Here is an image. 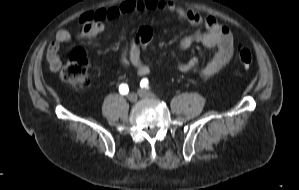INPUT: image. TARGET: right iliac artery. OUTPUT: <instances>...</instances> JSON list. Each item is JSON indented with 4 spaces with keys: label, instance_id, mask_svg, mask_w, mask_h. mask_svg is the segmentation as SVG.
<instances>
[{
    "label": "right iliac artery",
    "instance_id": "82829eb1",
    "mask_svg": "<svg viewBox=\"0 0 299 190\" xmlns=\"http://www.w3.org/2000/svg\"><path fill=\"white\" fill-rule=\"evenodd\" d=\"M119 92L123 95L127 94L129 92V88L127 84H121L119 86Z\"/></svg>",
    "mask_w": 299,
    "mask_h": 190
}]
</instances>
